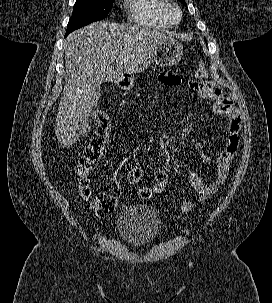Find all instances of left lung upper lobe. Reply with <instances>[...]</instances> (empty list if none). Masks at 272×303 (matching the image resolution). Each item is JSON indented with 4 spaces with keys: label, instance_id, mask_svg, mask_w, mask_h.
Instances as JSON below:
<instances>
[{
    "label": "left lung upper lobe",
    "instance_id": "obj_1",
    "mask_svg": "<svg viewBox=\"0 0 272 303\" xmlns=\"http://www.w3.org/2000/svg\"><path fill=\"white\" fill-rule=\"evenodd\" d=\"M181 2H182L184 5H186V6H187V4H186L184 1H182V0H181Z\"/></svg>",
    "mask_w": 272,
    "mask_h": 303
}]
</instances>
